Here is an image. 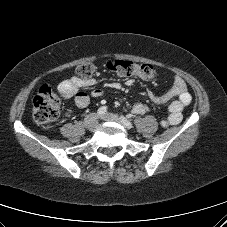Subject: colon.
I'll use <instances>...</instances> for the list:
<instances>
[{
    "label": "colon",
    "instance_id": "1",
    "mask_svg": "<svg viewBox=\"0 0 227 227\" xmlns=\"http://www.w3.org/2000/svg\"><path fill=\"white\" fill-rule=\"evenodd\" d=\"M106 69L120 76H135L146 80L156 78V71L152 65L139 64L122 59H109L106 62ZM95 67L91 63L82 64L77 68V74L82 78H89L93 75ZM60 113V101L50 86L43 85L33 101L32 116L40 124L50 123L56 120Z\"/></svg>",
    "mask_w": 227,
    "mask_h": 227
}]
</instances>
